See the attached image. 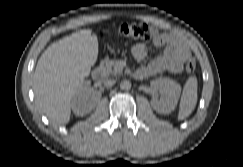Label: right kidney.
Here are the masks:
<instances>
[{"label":"right kidney","mask_w":243,"mask_h":167,"mask_svg":"<svg viewBox=\"0 0 243 167\" xmlns=\"http://www.w3.org/2000/svg\"><path fill=\"white\" fill-rule=\"evenodd\" d=\"M100 96L91 90L90 81H85L75 93L71 107L75 115L83 116L95 108Z\"/></svg>","instance_id":"1"}]
</instances>
